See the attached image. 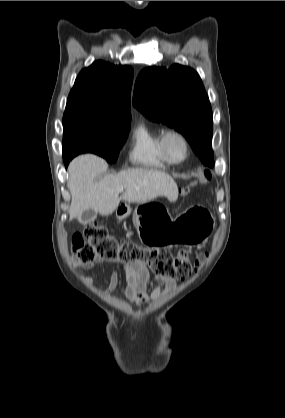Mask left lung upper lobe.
Returning a JSON list of instances; mask_svg holds the SVG:
<instances>
[{
  "instance_id": "left-lung-upper-lobe-1",
  "label": "left lung upper lobe",
  "mask_w": 285,
  "mask_h": 418,
  "mask_svg": "<svg viewBox=\"0 0 285 418\" xmlns=\"http://www.w3.org/2000/svg\"><path fill=\"white\" fill-rule=\"evenodd\" d=\"M133 105L149 119L182 133L204 165L214 166L213 115L202 81L190 67L174 64L140 72Z\"/></svg>"
}]
</instances>
